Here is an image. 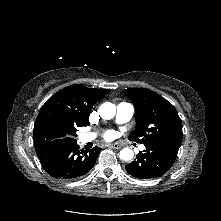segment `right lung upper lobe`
<instances>
[{"label": "right lung upper lobe", "instance_id": "cb5924a9", "mask_svg": "<svg viewBox=\"0 0 221 221\" xmlns=\"http://www.w3.org/2000/svg\"><path fill=\"white\" fill-rule=\"evenodd\" d=\"M109 92L107 89L86 88L80 84L68 86L45 102L37 119L51 115L68 118L85 126L93 105Z\"/></svg>", "mask_w": 221, "mask_h": 221}]
</instances>
